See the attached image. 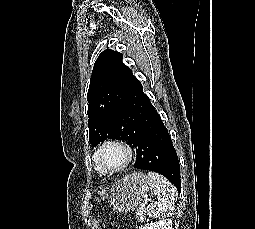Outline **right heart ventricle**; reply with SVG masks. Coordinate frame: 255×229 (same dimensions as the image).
Here are the masks:
<instances>
[{
	"label": "right heart ventricle",
	"instance_id": "right-heart-ventricle-1",
	"mask_svg": "<svg viewBox=\"0 0 255 229\" xmlns=\"http://www.w3.org/2000/svg\"><path fill=\"white\" fill-rule=\"evenodd\" d=\"M97 168V171L100 173V174H104L105 172H103V170L100 168V167H96Z\"/></svg>",
	"mask_w": 255,
	"mask_h": 229
}]
</instances>
